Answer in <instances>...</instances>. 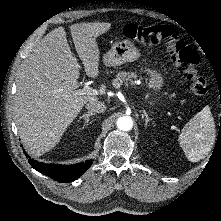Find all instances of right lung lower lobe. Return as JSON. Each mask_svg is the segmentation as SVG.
Returning <instances> with one entry per match:
<instances>
[{"instance_id":"right-lung-lower-lobe-1","label":"right lung lower lobe","mask_w":221,"mask_h":221,"mask_svg":"<svg viewBox=\"0 0 221 221\" xmlns=\"http://www.w3.org/2000/svg\"><path fill=\"white\" fill-rule=\"evenodd\" d=\"M28 161L35 170L61 183L77 179L92 165L91 160L75 165L46 164L31 158Z\"/></svg>"}]
</instances>
